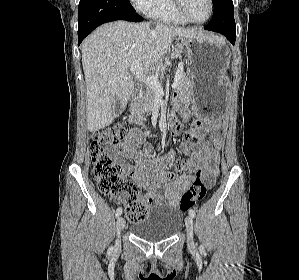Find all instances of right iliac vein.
Masks as SVG:
<instances>
[{
  "mask_svg": "<svg viewBox=\"0 0 299 280\" xmlns=\"http://www.w3.org/2000/svg\"><path fill=\"white\" fill-rule=\"evenodd\" d=\"M125 227V220L123 217H119L116 222V231H117V241H116V249L120 247L121 241H120V234L121 231Z\"/></svg>",
  "mask_w": 299,
  "mask_h": 280,
  "instance_id": "obj_1",
  "label": "right iliac vein"
}]
</instances>
